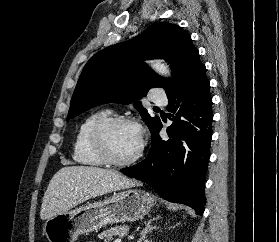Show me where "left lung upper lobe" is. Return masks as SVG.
<instances>
[{
    "mask_svg": "<svg viewBox=\"0 0 279 242\" xmlns=\"http://www.w3.org/2000/svg\"><path fill=\"white\" fill-rule=\"evenodd\" d=\"M197 51L190 35L181 27L159 23L132 40L96 53L79 77L68 119L99 104L134 103L152 132L160 119L149 116L139 100L152 87H162L169 93L182 80ZM149 58L168 61L173 78L167 80L149 69L143 62Z\"/></svg>",
    "mask_w": 279,
    "mask_h": 242,
    "instance_id": "5c2ea615",
    "label": "left lung upper lobe"
}]
</instances>
